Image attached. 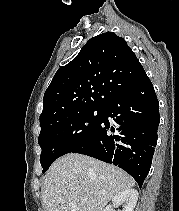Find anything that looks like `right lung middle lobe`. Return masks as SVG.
I'll use <instances>...</instances> for the list:
<instances>
[{
	"label": "right lung middle lobe",
	"instance_id": "obj_1",
	"mask_svg": "<svg viewBox=\"0 0 179 211\" xmlns=\"http://www.w3.org/2000/svg\"><path fill=\"white\" fill-rule=\"evenodd\" d=\"M104 108H92L59 117L41 128L38 143L42 149L43 173L60 156L87 142L101 124Z\"/></svg>",
	"mask_w": 179,
	"mask_h": 211
}]
</instances>
